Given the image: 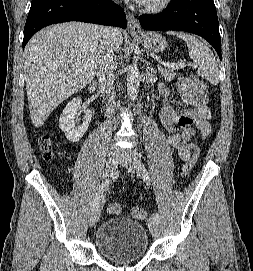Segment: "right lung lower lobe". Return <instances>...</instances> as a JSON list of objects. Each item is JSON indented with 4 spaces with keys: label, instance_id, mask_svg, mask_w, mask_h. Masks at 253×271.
I'll return each instance as SVG.
<instances>
[{
    "label": "right lung lower lobe",
    "instance_id": "1",
    "mask_svg": "<svg viewBox=\"0 0 253 271\" xmlns=\"http://www.w3.org/2000/svg\"><path fill=\"white\" fill-rule=\"evenodd\" d=\"M73 20L126 28V15L112 0H32L23 48L40 29Z\"/></svg>",
    "mask_w": 253,
    "mask_h": 271
}]
</instances>
